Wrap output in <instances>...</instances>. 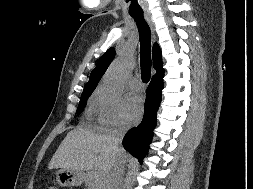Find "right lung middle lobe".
Wrapping results in <instances>:
<instances>
[{
    "label": "right lung middle lobe",
    "instance_id": "obj_1",
    "mask_svg": "<svg viewBox=\"0 0 253 189\" xmlns=\"http://www.w3.org/2000/svg\"><path fill=\"white\" fill-rule=\"evenodd\" d=\"M92 92H93V90L83 91L81 99H80L79 106L77 108V114H80L83 111V109H84V107L87 103V99L90 97Z\"/></svg>",
    "mask_w": 253,
    "mask_h": 189
}]
</instances>
